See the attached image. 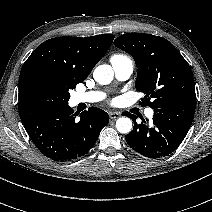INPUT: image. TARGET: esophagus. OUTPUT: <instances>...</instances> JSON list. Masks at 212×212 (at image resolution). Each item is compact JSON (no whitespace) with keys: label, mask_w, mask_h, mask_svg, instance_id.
Wrapping results in <instances>:
<instances>
[{"label":"esophagus","mask_w":212,"mask_h":212,"mask_svg":"<svg viewBox=\"0 0 212 212\" xmlns=\"http://www.w3.org/2000/svg\"><path fill=\"white\" fill-rule=\"evenodd\" d=\"M109 116H110L111 119L115 120V119L120 117V113H118V112H110Z\"/></svg>","instance_id":"obj_1"}]
</instances>
